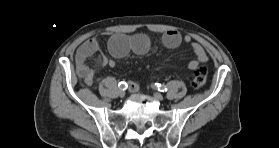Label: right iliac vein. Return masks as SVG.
<instances>
[{
    "label": "right iliac vein",
    "instance_id": "1",
    "mask_svg": "<svg viewBox=\"0 0 279 148\" xmlns=\"http://www.w3.org/2000/svg\"><path fill=\"white\" fill-rule=\"evenodd\" d=\"M120 97H124L125 96V91L123 89H120L118 92Z\"/></svg>",
    "mask_w": 279,
    "mask_h": 148
}]
</instances>
